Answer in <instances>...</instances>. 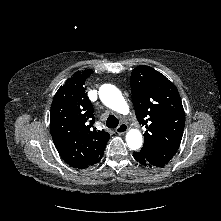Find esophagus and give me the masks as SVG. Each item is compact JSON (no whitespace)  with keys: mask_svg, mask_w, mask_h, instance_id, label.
I'll return each instance as SVG.
<instances>
[{"mask_svg":"<svg viewBox=\"0 0 221 221\" xmlns=\"http://www.w3.org/2000/svg\"><path fill=\"white\" fill-rule=\"evenodd\" d=\"M127 130H128L127 125L122 123V124H120V125L118 126V128L116 129V132H117L118 134H124V133L127 132Z\"/></svg>","mask_w":221,"mask_h":221,"instance_id":"34e87169","label":"esophagus"}]
</instances>
